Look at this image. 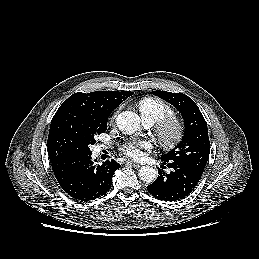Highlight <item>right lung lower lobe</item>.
Returning <instances> with one entry per match:
<instances>
[{
	"label": "right lung lower lobe",
	"instance_id": "right-lung-lower-lobe-1",
	"mask_svg": "<svg viewBox=\"0 0 259 259\" xmlns=\"http://www.w3.org/2000/svg\"><path fill=\"white\" fill-rule=\"evenodd\" d=\"M50 162L62 189L84 202L104 195L112 185L114 172L120 167L114 160L94 165L91 153L66 155Z\"/></svg>",
	"mask_w": 259,
	"mask_h": 259
}]
</instances>
